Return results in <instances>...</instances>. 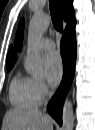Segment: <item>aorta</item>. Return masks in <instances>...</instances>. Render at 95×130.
<instances>
[{
  "label": "aorta",
  "mask_w": 95,
  "mask_h": 130,
  "mask_svg": "<svg viewBox=\"0 0 95 130\" xmlns=\"http://www.w3.org/2000/svg\"><path fill=\"white\" fill-rule=\"evenodd\" d=\"M49 26L47 15H34L29 23L28 44L26 54V69L33 76L42 74L39 41ZM63 130H73L74 111L72 101L66 98L62 114Z\"/></svg>",
  "instance_id": "762f6f07"
}]
</instances>
